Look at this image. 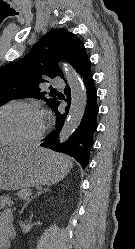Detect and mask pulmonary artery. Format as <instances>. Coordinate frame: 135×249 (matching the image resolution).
<instances>
[{"label":"pulmonary artery","instance_id":"e3ab8cb5","mask_svg":"<svg viewBox=\"0 0 135 249\" xmlns=\"http://www.w3.org/2000/svg\"><path fill=\"white\" fill-rule=\"evenodd\" d=\"M52 86L54 88H61L64 87V82L60 78L56 77L52 80Z\"/></svg>","mask_w":135,"mask_h":249}]
</instances>
